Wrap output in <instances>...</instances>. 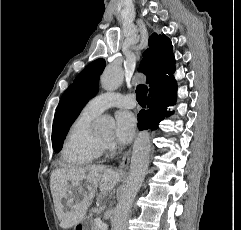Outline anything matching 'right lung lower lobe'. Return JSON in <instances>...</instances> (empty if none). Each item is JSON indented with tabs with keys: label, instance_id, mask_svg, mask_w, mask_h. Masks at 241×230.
I'll return each instance as SVG.
<instances>
[{
	"label": "right lung lower lobe",
	"instance_id": "right-lung-lower-lobe-1",
	"mask_svg": "<svg viewBox=\"0 0 241 230\" xmlns=\"http://www.w3.org/2000/svg\"><path fill=\"white\" fill-rule=\"evenodd\" d=\"M174 72L175 70L149 89L148 109L141 110L138 114L139 130L157 129L159 122L172 114L166 109L175 104L177 97V85L172 76Z\"/></svg>",
	"mask_w": 241,
	"mask_h": 230
}]
</instances>
